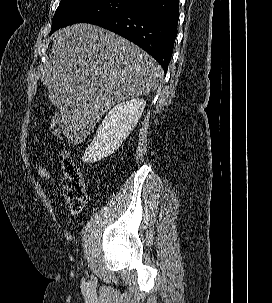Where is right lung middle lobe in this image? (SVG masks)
<instances>
[{"instance_id":"obj_1","label":"right lung middle lobe","mask_w":272,"mask_h":303,"mask_svg":"<svg viewBox=\"0 0 272 303\" xmlns=\"http://www.w3.org/2000/svg\"><path fill=\"white\" fill-rule=\"evenodd\" d=\"M137 4L134 0H62L53 17L51 33L75 23L91 24Z\"/></svg>"}]
</instances>
